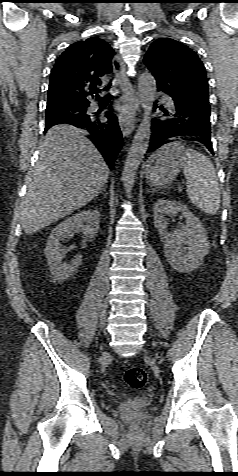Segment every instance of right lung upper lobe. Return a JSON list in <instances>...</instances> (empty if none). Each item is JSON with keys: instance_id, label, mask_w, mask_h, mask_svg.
<instances>
[{"instance_id": "right-lung-upper-lobe-1", "label": "right lung upper lobe", "mask_w": 238, "mask_h": 476, "mask_svg": "<svg viewBox=\"0 0 238 476\" xmlns=\"http://www.w3.org/2000/svg\"><path fill=\"white\" fill-rule=\"evenodd\" d=\"M115 52L111 46L91 37L70 45L51 71L47 105L88 107L89 94L96 93L101 78L112 71Z\"/></svg>"}]
</instances>
